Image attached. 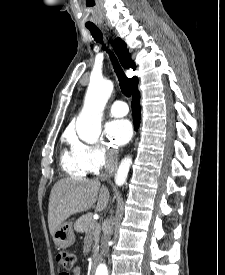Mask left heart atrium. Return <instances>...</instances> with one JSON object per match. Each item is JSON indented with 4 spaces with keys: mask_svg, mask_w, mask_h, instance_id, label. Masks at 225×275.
Returning a JSON list of instances; mask_svg holds the SVG:
<instances>
[{
    "mask_svg": "<svg viewBox=\"0 0 225 275\" xmlns=\"http://www.w3.org/2000/svg\"><path fill=\"white\" fill-rule=\"evenodd\" d=\"M106 133L114 144L123 145L132 136V126L126 119L113 120L107 124Z\"/></svg>",
    "mask_w": 225,
    "mask_h": 275,
    "instance_id": "obj_1",
    "label": "left heart atrium"
}]
</instances>
